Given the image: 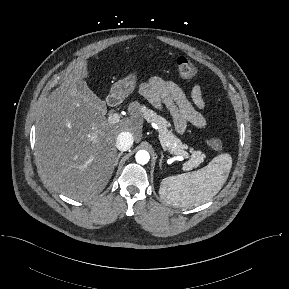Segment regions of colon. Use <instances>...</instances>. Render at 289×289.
Returning <instances> with one entry per match:
<instances>
[{
    "label": "colon",
    "instance_id": "colon-1",
    "mask_svg": "<svg viewBox=\"0 0 289 289\" xmlns=\"http://www.w3.org/2000/svg\"><path fill=\"white\" fill-rule=\"evenodd\" d=\"M176 67L179 75L186 80H191L193 79L196 74H197V68L196 66L186 57L181 56L177 59L176 61ZM207 144L211 149L214 151H221L224 147L223 140L218 137L214 136H208L207 139Z\"/></svg>",
    "mask_w": 289,
    "mask_h": 289
}]
</instances>
